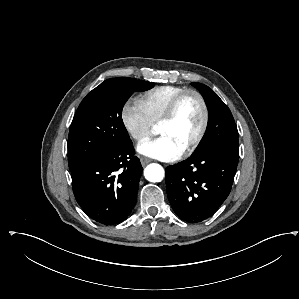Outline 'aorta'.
I'll return each mask as SVG.
<instances>
[{"mask_svg":"<svg viewBox=\"0 0 299 299\" xmlns=\"http://www.w3.org/2000/svg\"><path fill=\"white\" fill-rule=\"evenodd\" d=\"M144 176L146 180L156 183L164 179L165 171L159 164H150L144 170Z\"/></svg>","mask_w":299,"mask_h":299,"instance_id":"1","label":"aorta"}]
</instances>
